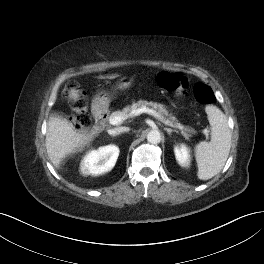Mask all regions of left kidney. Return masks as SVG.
<instances>
[{"instance_id":"left-kidney-1","label":"left kidney","mask_w":264,"mask_h":264,"mask_svg":"<svg viewBox=\"0 0 264 264\" xmlns=\"http://www.w3.org/2000/svg\"><path fill=\"white\" fill-rule=\"evenodd\" d=\"M175 158L178 164L182 167H188L190 164L189 149L184 145L180 144L174 148Z\"/></svg>"}]
</instances>
